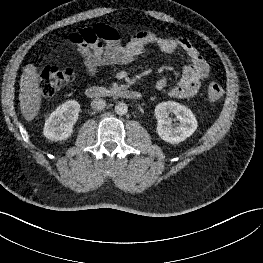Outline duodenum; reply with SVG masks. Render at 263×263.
Wrapping results in <instances>:
<instances>
[{
    "mask_svg": "<svg viewBox=\"0 0 263 263\" xmlns=\"http://www.w3.org/2000/svg\"><path fill=\"white\" fill-rule=\"evenodd\" d=\"M85 94L88 98H104V97H120L131 100H140L142 95L139 91L128 87L105 88L102 86H89L86 88Z\"/></svg>",
    "mask_w": 263,
    "mask_h": 263,
    "instance_id": "obj_1",
    "label": "duodenum"
}]
</instances>
